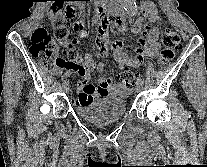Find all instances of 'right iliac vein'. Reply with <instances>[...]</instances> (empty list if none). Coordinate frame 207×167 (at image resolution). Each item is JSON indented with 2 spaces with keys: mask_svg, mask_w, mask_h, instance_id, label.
Instances as JSON below:
<instances>
[{
  "mask_svg": "<svg viewBox=\"0 0 207 167\" xmlns=\"http://www.w3.org/2000/svg\"><path fill=\"white\" fill-rule=\"evenodd\" d=\"M69 89H70V88H69V85H68V84L64 86V91H65V92H69Z\"/></svg>",
  "mask_w": 207,
  "mask_h": 167,
  "instance_id": "63e3f726",
  "label": "right iliac vein"
}]
</instances>
